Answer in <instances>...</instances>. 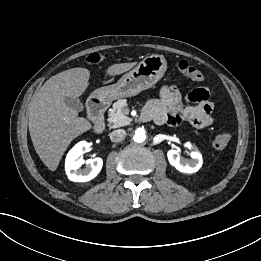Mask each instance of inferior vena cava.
Here are the masks:
<instances>
[{"instance_id": "obj_1", "label": "inferior vena cava", "mask_w": 261, "mask_h": 261, "mask_svg": "<svg viewBox=\"0 0 261 261\" xmlns=\"http://www.w3.org/2000/svg\"><path fill=\"white\" fill-rule=\"evenodd\" d=\"M109 136L112 142H122L126 137V131L123 129H117L112 131Z\"/></svg>"}]
</instances>
